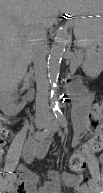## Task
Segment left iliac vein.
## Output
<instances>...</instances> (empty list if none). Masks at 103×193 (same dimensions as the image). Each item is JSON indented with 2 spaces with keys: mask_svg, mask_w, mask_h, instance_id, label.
<instances>
[{
  "mask_svg": "<svg viewBox=\"0 0 103 193\" xmlns=\"http://www.w3.org/2000/svg\"><path fill=\"white\" fill-rule=\"evenodd\" d=\"M47 128L50 129L52 132H55L59 129V124L56 121L49 122L47 124Z\"/></svg>",
  "mask_w": 103,
  "mask_h": 193,
  "instance_id": "1",
  "label": "left iliac vein"
}]
</instances>
